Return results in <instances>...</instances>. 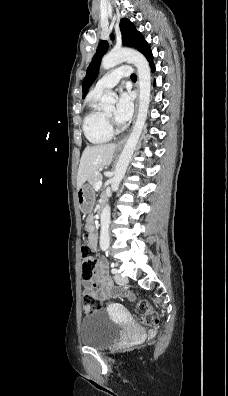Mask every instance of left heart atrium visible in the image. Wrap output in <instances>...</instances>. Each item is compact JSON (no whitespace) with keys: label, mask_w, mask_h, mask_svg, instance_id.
I'll return each instance as SVG.
<instances>
[{"label":"left heart atrium","mask_w":228,"mask_h":396,"mask_svg":"<svg viewBox=\"0 0 228 396\" xmlns=\"http://www.w3.org/2000/svg\"><path fill=\"white\" fill-rule=\"evenodd\" d=\"M133 98L129 92L122 91L119 95L117 106L114 112V119L119 124L129 121L133 114Z\"/></svg>","instance_id":"obj_1"}]
</instances>
